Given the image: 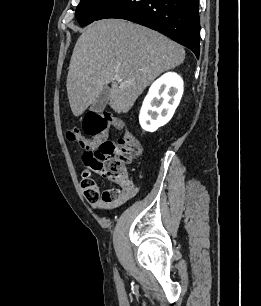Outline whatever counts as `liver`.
<instances>
[{
    "label": "liver",
    "mask_w": 261,
    "mask_h": 306,
    "mask_svg": "<svg viewBox=\"0 0 261 306\" xmlns=\"http://www.w3.org/2000/svg\"><path fill=\"white\" fill-rule=\"evenodd\" d=\"M184 59V48L157 31L123 19L96 21L80 35L70 60L66 87L72 113L82 115L108 83L110 107L127 113L156 77Z\"/></svg>",
    "instance_id": "1"
}]
</instances>
